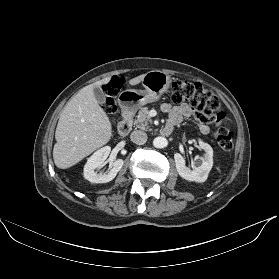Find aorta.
Masks as SVG:
<instances>
[{
    "label": "aorta",
    "instance_id": "aorta-1",
    "mask_svg": "<svg viewBox=\"0 0 279 279\" xmlns=\"http://www.w3.org/2000/svg\"><path fill=\"white\" fill-rule=\"evenodd\" d=\"M153 145H154V147L159 148V149L165 148L168 145V141L164 137H156L153 140Z\"/></svg>",
    "mask_w": 279,
    "mask_h": 279
}]
</instances>
